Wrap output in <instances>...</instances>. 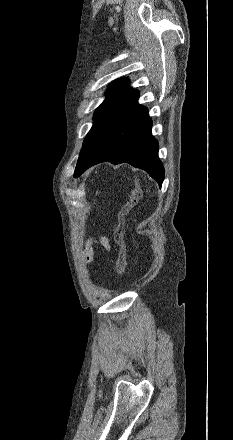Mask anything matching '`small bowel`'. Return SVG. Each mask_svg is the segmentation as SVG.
Wrapping results in <instances>:
<instances>
[{
	"label": "small bowel",
	"instance_id": "c3829d8e",
	"mask_svg": "<svg viewBox=\"0 0 233 440\" xmlns=\"http://www.w3.org/2000/svg\"><path fill=\"white\" fill-rule=\"evenodd\" d=\"M100 246L104 250L109 251L110 250V242L109 239L106 236H101L98 240H90L87 242L86 248H85V259L86 261L90 262L93 259L94 256V249Z\"/></svg>",
	"mask_w": 233,
	"mask_h": 440
}]
</instances>
